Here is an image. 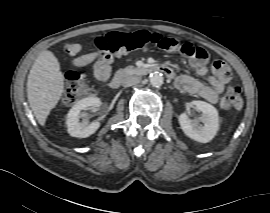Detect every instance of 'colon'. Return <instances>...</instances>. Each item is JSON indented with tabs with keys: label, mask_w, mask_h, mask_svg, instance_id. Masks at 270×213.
Listing matches in <instances>:
<instances>
[{
	"label": "colon",
	"mask_w": 270,
	"mask_h": 213,
	"mask_svg": "<svg viewBox=\"0 0 270 213\" xmlns=\"http://www.w3.org/2000/svg\"><path fill=\"white\" fill-rule=\"evenodd\" d=\"M149 44H156L165 50H173L179 47L186 56H194L201 60L207 58V53L204 49L195 47L190 43L179 44L176 39L165 37L157 32L137 31L131 34L114 32L109 36L98 38L94 46L99 51L97 59L102 62H110L118 53L146 50ZM213 69L220 78L229 77V67L225 63L216 61L213 64ZM92 91V85L82 73H70L65 80L62 102L67 105H73L88 96ZM241 106V87L236 83H231L221 99V107L223 110H231L239 109Z\"/></svg>",
	"instance_id": "5ec220e1"
}]
</instances>
